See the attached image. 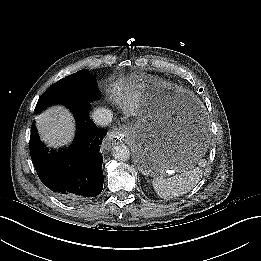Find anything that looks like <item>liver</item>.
Returning <instances> with one entry per match:
<instances>
[{
    "label": "liver",
    "mask_w": 261,
    "mask_h": 261,
    "mask_svg": "<svg viewBox=\"0 0 261 261\" xmlns=\"http://www.w3.org/2000/svg\"><path fill=\"white\" fill-rule=\"evenodd\" d=\"M123 93L119 86L112 90V97L120 105L125 116L137 117L141 108V86L135 81H121ZM38 130L42 140L53 148L62 147L71 142L75 123L72 115L62 106H55L36 116Z\"/></svg>",
    "instance_id": "1"
}]
</instances>
